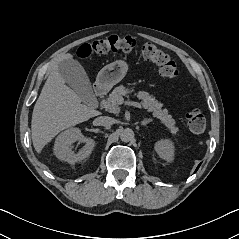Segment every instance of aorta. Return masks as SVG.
Instances as JSON below:
<instances>
[{"mask_svg": "<svg viewBox=\"0 0 239 239\" xmlns=\"http://www.w3.org/2000/svg\"><path fill=\"white\" fill-rule=\"evenodd\" d=\"M134 138V131L130 128H125L121 130L120 139L123 142H129Z\"/></svg>", "mask_w": 239, "mask_h": 239, "instance_id": "762f6f07", "label": "aorta"}]
</instances>
